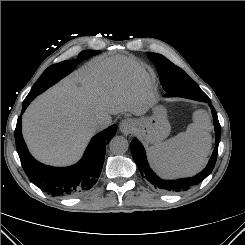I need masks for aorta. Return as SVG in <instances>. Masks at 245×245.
I'll return each instance as SVG.
<instances>
[{
    "label": "aorta",
    "mask_w": 245,
    "mask_h": 245,
    "mask_svg": "<svg viewBox=\"0 0 245 245\" xmlns=\"http://www.w3.org/2000/svg\"><path fill=\"white\" fill-rule=\"evenodd\" d=\"M110 150L114 154H124L128 150L129 143L128 140L122 136H115L110 144Z\"/></svg>",
    "instance_id": "obj_1"
}]
</instances>
